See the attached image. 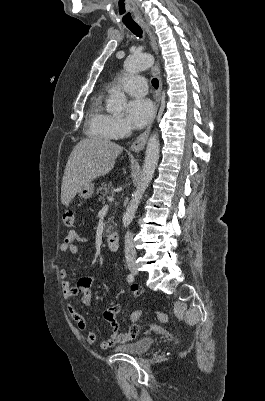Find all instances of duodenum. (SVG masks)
I'll use <instances>...</instances> for the list:
<instances>
[{
    "label": "duodenum",
    "mask_w": 265,
    "mask_h": 401,
    "mask_svg": "<svg viewBox=\"0 0 265 401\" xmlns=\"http://www.w3.org/2000/svg\"><path fill=\"white\" fill-rule=\"evenodd\" d=\"M107 247L110 251H117L119 246V237L118 234L113 232L106 239Z\"/></svg>",
    "instance_id": "1"
}]
</instances>
